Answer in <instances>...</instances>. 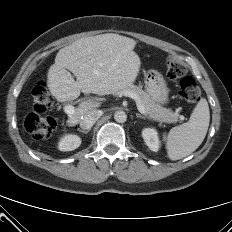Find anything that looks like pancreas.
Instances as JSON below:
<instances>
[{
	"label": "pancreas",
	"instance_id": "1",
	"mask_svg": "<svg viewBox=\"0 0 232 232\" xmlns=\"http://www.w3.org/2000/svg\"><path fill=\"white\" fill-rule=\"evenodd\" d=\"M126 91L134 93L140 98L146 114L153 120L160 123H176L178 121V112H173L170 109L162 107L160 104L152 100L151 97L144 90H142V88L131 84L116 92V94L120 95Z\"/></svg>",
	"mask_w": 232,
	"mask_h": 232
}]
</instances>
